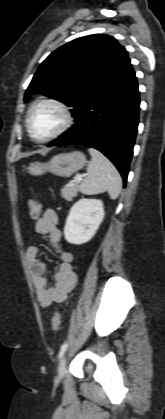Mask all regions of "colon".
Masks as SVG:
<instances>
[{"label": "colon", "mask_w": 165, "mask_h": 419, "mask_svg": "<svg viewBox=\"0 0 165 419\" xmlns=\"http://www.w3.org/2000/svg\"><path fill=\"white\" fill-rule=\"evenodd\" d=\"M29 212L32 219L37 220L41 214V204L36 199H31L29 201ZM61 318L59 313H55L51 320V325L53 330L57 331L60 328Z\"/></svg>", "instance_id": "1"}]
</instances>
